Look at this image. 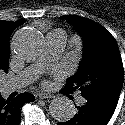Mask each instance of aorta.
<instances>
[{
    "label": "aorta",
    "mask_w": 125,
    "mask_h": 125,
    "mask_svg": "<svg viewBox=\"0 0 125 125\" xmlns=\"http://www.w3.org/2000/svg\"><path fill=\"white\" fill-rule=\"evenodd\" d=\"M14 40L17 54L25 59L36 57L43 48L41 34L33 29H21L16 33ZM49 111L50 115L58 121H68L76 113L71 100L65 96L53 99Z\"/></svg>",
    "instance_id": "obj_1"
}]
</instances>
